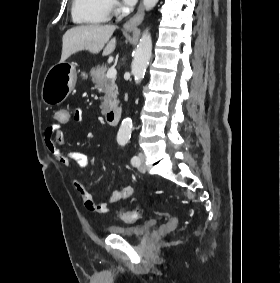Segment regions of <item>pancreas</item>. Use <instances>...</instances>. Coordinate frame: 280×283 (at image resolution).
<instances>
[{
    "label": "pancreas",
    "mask_w": 280,
    "mask_h": 283,
    "mask_svg": "<svg viewBox=\"0 0 280 283\" xmlns=\"http://www.w3.org/2000/svg\"><path fill=\"white\" fill-rule=\"evenodd\" d=\"M106 65L96 66L90 70L92 82L95 84V89L104 94L103 102L100 105L102 113H105L111 108L118 105V89L115 84V79L105 78Z\"/></svg>",
    "instance_id": "pancreas-1"
}]
</instances>
